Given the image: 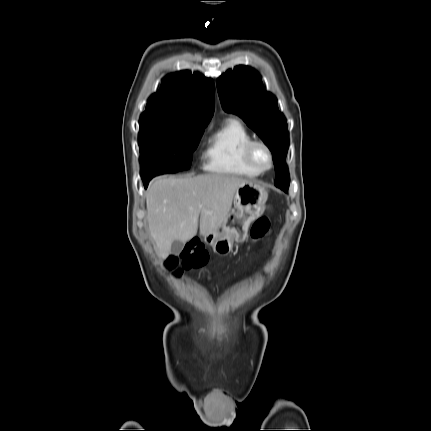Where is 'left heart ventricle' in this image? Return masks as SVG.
Masks as SVG:
<instances>
[{
  "label": "left heart ventricle",
  "instance_id": "obj_1",
  "mask_svg": "<svg viewBox=\"0 0 431 431\" xmlns=\"http://www.w3.org/2000/svg\"><path fill=\"white\" fill-rule=\"evenodd\" d=\"M253 155L258 164L266 165L268 163V154L262 147H256Z\"/></svg>",
  "mask_w": 431,
  "mask_h": 431
}]
</instances>
